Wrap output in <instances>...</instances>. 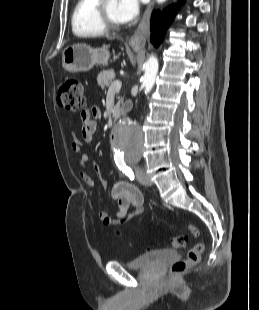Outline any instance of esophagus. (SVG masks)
<instances>
[{
    "label": "esophagus",
    "mask_w": 259,
    "mask_h": 310,
    "mask_svg": "<svg viewBox=\"0 0 259 310\" xmlns=\"http://www.w3.org/2000/svg\"><path fill=\"white\" fill-rule=\"evenodd\" d=\"M152 2H150L143 14L137 29L129 39V45L133 49H141L146 43V38L149 33L150 14H151Z\"/></svg>",
    "instance_id": "obj_1"
}]
</instances>
